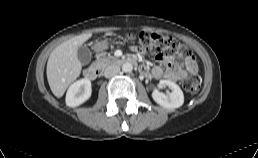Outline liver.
Masks as SVG:
<instances>
[{"instance_id": "liver-1", "label": "liver", "mask_w": 258, "mask_h": 158, "mask_svg": "<svg viewBox=\"0 0 258 158\" xmlns=\"http://www.w3.org/2000/svg\"><path fill=\"white\" fill-rule=\"evenodd\" d=\"M92 33L75 36L57 46L47 62V80L52 93L60 98L68 86L79 77L82 69L78 59V47L86 42Z\"/></svg>"}]
</instances>
